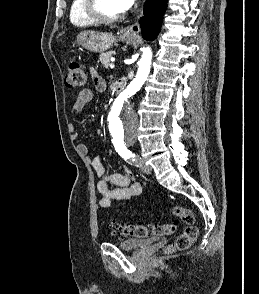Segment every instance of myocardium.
I'll return each instance as SVG.
<instances>
[{"label": "myocardium", "mask_w": 259, "mask_h": 294, "mask_svg": "<svg viewBox=\"0 0 259 294\" xmlns=\"http://www.w3.org/2000/svg\"><path fill=\"white\" fill-rule=\"evenodd\" d=\"M98 0H84V12L94 22L100 24H111L123 18L124 12L116 16H107L98 8Z\"/></svg>", "instance_id": "f54148a6"}]
</instances>
